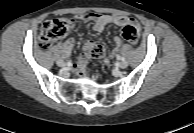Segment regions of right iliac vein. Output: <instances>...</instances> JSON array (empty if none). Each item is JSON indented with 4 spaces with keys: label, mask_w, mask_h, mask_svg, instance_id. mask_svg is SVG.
I'll return each mask as SVG.
<instances>
[{
    "label": "right iliac vein",
    "mask_w": 194,
    "mask_h": 133,
    "mask_svg": "<svg viewBox=\"0 0 194 133\" xmlns=\"http://www.w3.org/2000/svg\"><path fill=\"white\" fill-rule=\"evenodd\" d=\"M57 65L59 67H64L65 66V62L63 60L59 59V60H57Z\"/></svg>",
    "instance_id": "1"
}]
</instances>
